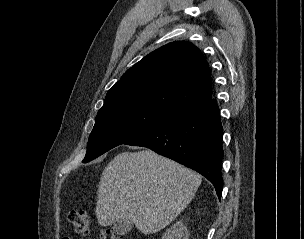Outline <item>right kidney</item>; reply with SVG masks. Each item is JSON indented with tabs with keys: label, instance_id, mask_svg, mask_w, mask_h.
I'll return each instance as SVG.
<instances>
[{
	"label": "right kidney",
	"instance_id": "right-kidney-1",
	"mask_svg": "<svg viewBox=\"0 0 304 239\" xmlns=\"http://www.w3.org/2000/svg\"><path fill=\"white\" fill-rule=\"evenodd\" d=\"M162 239H189V232L187 227L183 225L182 221H179L166 230Z\"/></svg>",
	"mask_w": 304,
	"mask_h": 239
}]
</instances>
